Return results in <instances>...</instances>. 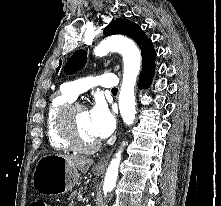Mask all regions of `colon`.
Masks as SVG:
<instances>
[{
  "label": "colon",
  "instance_id": "obj_1",
  "mask_svg": "<svg viewBox=\"0 0 221 206\" xmlns=\"http://www.w3.org/2000/svg\"><path fill=\"white\" fill-rule=\"evenodd\" d=\"M30 206H49L45 201L36 199L30 203Z\"/></svg>",
  "mask_w": 221,
  "mask_h": 206
}]
</instances>
